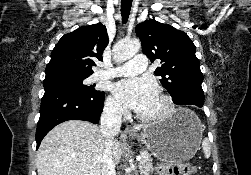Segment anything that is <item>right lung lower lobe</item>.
<instances>
[{
	"label": "right lung lower lobe",
	"mask_w": 251,
	"mask_h": 175,
	"mask_svg": "<svg viewBox=\"0 0 251 175\" xmlns=\"http://www.w3.org/2000/svg\"><path fill=\"white\" fill-rule=\"evenodd\" d=\"M40 118L36 130L37 148L44 136L56 125L67 120H85L98 123L103 109L104 92L84 93L67 86L44 88Z\"/></svg>",
	"instance_id": "1"
}]
</instances>
